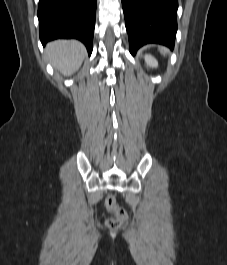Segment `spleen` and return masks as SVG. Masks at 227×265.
Returning <instances> with one entry per match:
<instances>
[{
    "label": "spleen",
    "instance_id": "spleen-1",
    "mask_svg": "<svg viewBox=\"0 0 227 265\" xmlns=\"http://www.w3.org/2000/svg\"><path fill=\"white\" fill-rule=\"evenodd\" d=\"M159 50H160V52H161L162 54H164V55H165V53L167 52V49L164 48V47H160Z\"/></svg>",
    "mask_w": 227,
    "mask_h": 265
}]
</instances>
